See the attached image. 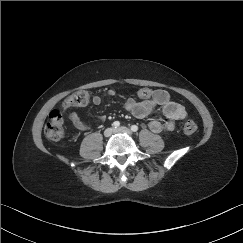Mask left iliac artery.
I'll list each match as a JSON object with an SVG mask.
<instances>
[{"mask_svg": "<svg viewBox=\"0 0 243 243\" xmlns=\"http://www.w3.org/2000/svg\"><path fill=\"white\" fill-rule=\"evenodd\" d=\"M131 130H132L133 132H137V131H138V126H136V125H132V126H131Z\"/></svg>", "mask_w": 243, "mask_h": 243, "instance_id": "1", "label": "left iliac artery"}]
</instances>
